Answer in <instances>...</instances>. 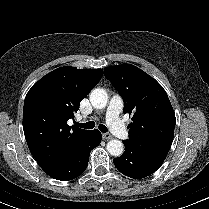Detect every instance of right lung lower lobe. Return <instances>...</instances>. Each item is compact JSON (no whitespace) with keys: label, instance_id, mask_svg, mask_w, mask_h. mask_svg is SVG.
Here are the masks:
<instances>
[{"label":"right lung lower lobe","instance_id":"right-lung-lower-lobe-1","mask_svg":"<svg viewBox=\"0 0 209 209\" xmlns=\"http://www.w3.org/2000/svg\"><path fill=\"white\" fill-rule=\"evenodd\" d=\"M101 138L98 130L89 131L73 152L48 175L61 181L72 180L81 175L87 167L91 149L100 144Z\"/></svg>","mask_w":209,"mask_h":209}]
</instances>
